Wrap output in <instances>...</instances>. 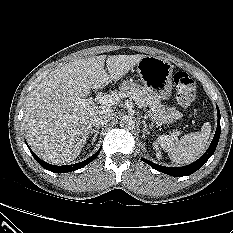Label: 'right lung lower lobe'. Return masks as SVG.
<instances>
[{"label":"right lung lower lobe","instance_id":"right-lung-lower-lobe-1","mask_svg":"<svg viewBox=\"0 0 233 233\" xmlns=\"http://www.w3.org/2000/svg\"><path fill=\"white\" fill-rule=\"evenodd\" d=\"M101 148L91 157H89L88 159L80 162V163H76L73 165H64V166H55V165H51L48 164L46 162H44L43 160H41L31 149L30 152L33 155V157L36 159V161L45 169L54 172V173H66V172H71L74 170H77L79 168L84 167L85 165L89 164L91 161H93L98 154L100 153Z\"/></svg>","mask_w":233,"mask_h":233}]
</instances>
